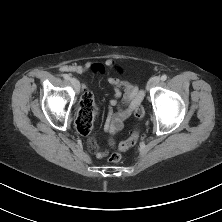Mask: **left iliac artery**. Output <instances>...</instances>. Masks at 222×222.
Here are the masks:
<instances>
[{
	"label": "left iliac artery",
	"instance_id": "44dca946",
	"mask_svg": "<svg viewBox=\"0 0 222 222\" xmlns=\"http://www.w3.org/2000/svg\"><path fill=\"white\" fill-rule=\"evenodd\" d=\"M166 79H167V75L164 74V75L161 76L162 81H165Z\"/></svg>",
	"mask_w": 222,
	"mask_h": 222
}]
</instances>
